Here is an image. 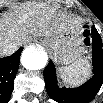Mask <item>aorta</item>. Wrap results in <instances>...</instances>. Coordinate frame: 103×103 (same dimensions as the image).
Returning <instances> with one entry per match:
<instances>
[{"instance_id": "aorta-1", "label": "aorta", "mask_w": 103, "mask_h": 103, "mask_svg": "<svg viewBox=\"0 0 103 103\" xmlns=\"http://www.w3.org/2000/svg\"><path fill=\"white\" fill-rule=\"evenodd\" d=\"M47 54L37 47H28L23 50L21 62L24 68L29 70H39L47 63Z\"/></svg>"}]
</instances>
